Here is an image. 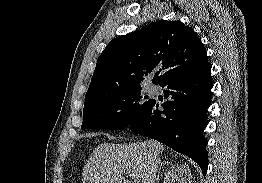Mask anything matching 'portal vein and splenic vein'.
<instances>
[{
  "mask_svg": "<svg viewBox=\"0 0 262 183\" xmlns=\"http://www.w3.org/2000/svg\"><path fill=\"white\" fill-rule=\"evenodd\" d=\"M125 174H126V176L130 177L134 181V183H139L140 178L135 173H133L131 171H126Z\"/></svg>",
  "mask_w": 262,
  "mask_h": 183,
  "instance_id": "1",
  "label": "portal vein and splenic vein"
}]
</instances>
